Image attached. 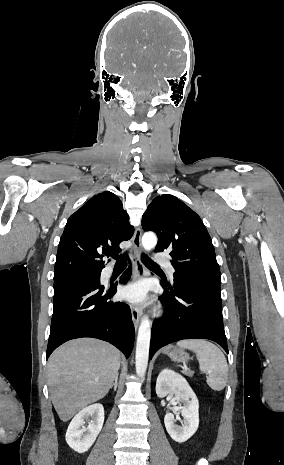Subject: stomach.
Returning a JSON list of instances; mask_svg holds the SVG:
<instances>
[{"label": "stomach", "instance_id": "stomach-1", "mask_svg": "<svg viewBox=\"0 0 284 465\" xmlns=\"http://www.w3.org/2000/svg\"><path fill=\"white\" fill-rule=\"evenodd\" d=\"M164 353L170 357L171 361H175V363H187L190 359V355L186 353L185 349H179V347H173V345L166 347Z\"/></svg>", "mask_w": 284, "mask_h": 465}]
</instances>
